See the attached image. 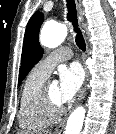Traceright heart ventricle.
Returning <instances> with one entry per match:
<instances>
[{
  "instance_id": "1",
  "label": "right heart ventricle",
  "mask_w": 116,
  "mask_h": 134,
  "mask_svg": "<svg viewBox=\"0 0 116 134\" xmlns=\"http://www.w3.org/2000/svg\"><path fill=\"white\" fill-rule=\"evenodd\" d=\"M48 75L41 73L36 67L27 75L20 93L18 121L22 129L42 131L49 127L55 119L43 105L41 92Z\"/></svg>"
}]
</instances>
